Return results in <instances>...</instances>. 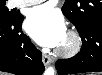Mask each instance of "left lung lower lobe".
<instances>
[{
	"instance_id": "0a47b994",
	"label": "left lung lower lobe",
	"mask_w": 102,
	"mask_h": 75,
	"mask_svg": "<svg viewBox=\"0 0 102 75\" xmlns=\"http://www.w3.org/2000/svg\"><path fill=\"white\" fill-rule=\"evenodd\" d=\"M82 40L80 52L69 59H59V75L102 71V23L92 22L77 27Z\"/></svg>"
}]
</instances>
